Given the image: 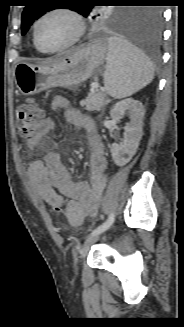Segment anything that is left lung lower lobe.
Returning a JSON list of instances; mask_svg holds the SVG:
<instances>
[{
	"label": "left lung lower lobe",
	"mask_w": 184,
	"mask_h": 327,
	"mask_svg": "<svg viewBox=\"0 0 184 327\" xmlns=\"http://www.w3.org/2000/svg\"><path fill=\"white\" fill-rule=\"evenodd\" d=\"M140 11L137 21L128 27V39L139 50L157 56L162 38V13L157 8Z\"/></svg>",
	"instance_id": "left-lung-lower-lobe-1"
}]
</instances>
